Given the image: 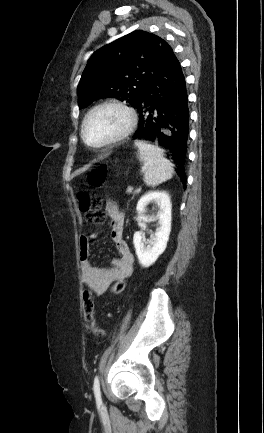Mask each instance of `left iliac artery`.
Returning <instances> with one entry per match:
<instances>
[{
  "label": "left iliac artery",
  "instance_id": "left-iliac-artery-1",
  "mask_svg": "<svg viewBox=\"0 0 264 433\" xmlns=\"http://www.w3.org/2000/svg\"><path fill=\"white\" fill-rule=\"evenodd\" d=\"M93 390L98 403H101V392L98 376L94 378Z\"/></svg>",
  "mask_w": 264,
  "mask_h": 433
}]
</instances>
